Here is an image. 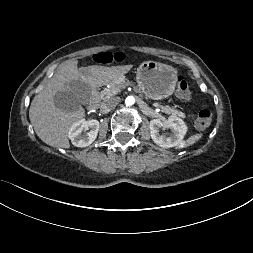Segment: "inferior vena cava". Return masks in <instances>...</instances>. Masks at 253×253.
Segmentation results:
<instances>
[{
    "mask_svg": "<svg viewBox=\"0 0 253 253\" xmlns=\"http://www.w3.org/2000/svg\"><path fill=\"white\" fill-rule=\"evenodd\" d=\"M119 102H120V99L117 97L106 99L101 103L100 107L102 110L107 111L114 108Z\"/></svg>",
    "mask_w": 253,
    "mask_h": 253,
    "instance_id": "1",
    "label": "inferior vena cava"
}]
</instances>
